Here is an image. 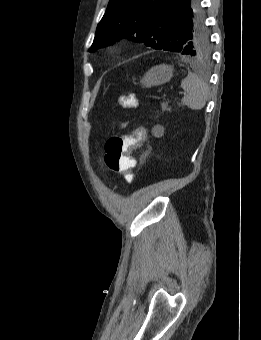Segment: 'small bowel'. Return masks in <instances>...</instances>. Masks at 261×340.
<instances>
[{
	"instance_id": "c3829d8e",
	"label": "small bowel",
	"mask_w": 261,
	"mask_h": 340,
	"mask_svg": "<svg viewBox=\"0 0 261 340\" xmlns=\"http://www.w3.org/2000/svg\"><path fill=\"white\" fill-rule=\"evenodd\" d=\"M127 125H128V122L125 121V122L121 123L120 127H121V128H125Z\"/></svg>"
}]
</instances>
